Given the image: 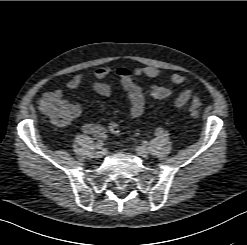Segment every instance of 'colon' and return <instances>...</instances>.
I'll list each match as a JSON object with an SVG mask.
<instances>
[{"label":"colon","mask_w":247,"mask_h":245,"mask_svg":"<svg viewBox=\"0 0 247 245\" xmlns=\"http://www.w3.org/2000/svg\"><path fill=\"white\" fill-rule=\"evenodd\" d=\"M149 96L154 100H161L169 96L170 92L164 87H151L148 91ZM201 103L197 97H193L189 107L191 117L199 115ZM43 112L57 125H65L69 121L70 108L66 99L56 96L48 97L41 106ZM109 129L114 134L120 133V127L115 120L109 122Z\"/></svg>","instance_id":"obj_1"}]
</instances>
